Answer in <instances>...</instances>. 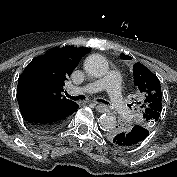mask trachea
<instances>
[{
    "mask_svg": "<svg viewBox=\"0 0 177 177\" xmlns=\"http://www.w3.org/2000/svg\"><path fill=\"white\" fill-rule=\"evenodd\" d=\"M65 94H66V96H67L68 98H70V99H72V100H74V101L85 99V96H83V95L71 96V95H69L67 92H66ZM97 101L102 102V103H105V104H109L107 101L102 100V99H97Z\"/></svg>",
    "mask_w": 177,
    "mask_h": 177,
    "instance_id": "trachea-1",
    "label": "trachea"
}]
</instances>
